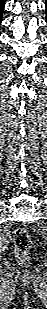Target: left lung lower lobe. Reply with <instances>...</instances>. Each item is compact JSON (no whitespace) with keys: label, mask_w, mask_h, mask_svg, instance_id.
Instances as JSON below:
<instances>
[{"label":"left lung lower lobe","mask_w":47,"mask_h":309,"mask_svg":"<svg viewBox=\"0 0 47 309\" xmlns=\"http://www.w3.org/2000/svg\"><path fill=\"white\" fill-rule=\"evenodd\" d=\"M46 12H47V0H46Z\"/></svg>","instance_id":"1"}]
</instances>
